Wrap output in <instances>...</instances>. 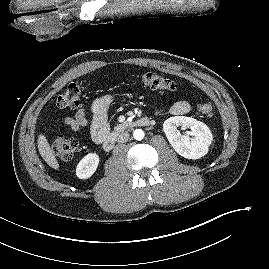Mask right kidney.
<instances>
[{
    "label": "right kidney",
    "mask_w": 269,
    "mask_h": 269,
    "mask_svg": "<svg viewBox=\"0 0 269 269\" xmlns=\"http://www.w3.org/2000/svg\"><path fill=\"white\" fill-rule=\"evenodd\" d=\"M99 164V156L96 153H89L84 156L76 167V175L79 179H88L96 171Z\"/></svg>",
    "instance_id": "obj_1"
}]
</instances>
